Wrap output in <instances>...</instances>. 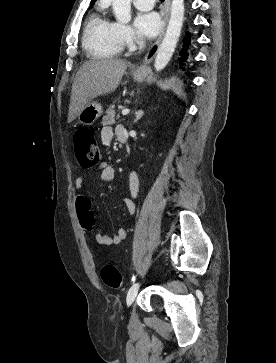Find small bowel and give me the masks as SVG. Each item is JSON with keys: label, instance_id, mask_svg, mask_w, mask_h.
<instances>
[{"label": "small bowel", "instance_id": "1", "mask_svg": "<svg viewBox=\"0 0 276 363\" xmlns=\"http://www.w3.org/2000/svg\"><path fill=\"white\" fill-rule=\"evenodd\" d=\"M120 133H126L123 126H117L113 128L112 126H104L101 130L100 137L103 145L108 146L112 142L113 138L118 136ZM97 170L100 172V179L103 182H111L115 178L114 167L108 165L105 162L99 164ZM86 175H81L76 178L75 186L76 189L81 191L85 187ZM139 176L137 172L132 171L129 177V189L130 197H123L122 202L125 205L128 213L133 216L137 209V198L139 196ZM76 208L79 213H83L84 220L90 223L87 231L92 232L94 219L93 214L90 210V199L84 194H78L76 196ZM127 232L123 227L118 228L117 232L113 236L103 235L98 232H93L94 240L100 245H119L126 239Z\"/></svg>", "mask_w": 276, "mask_h": 363}]
</instances>
